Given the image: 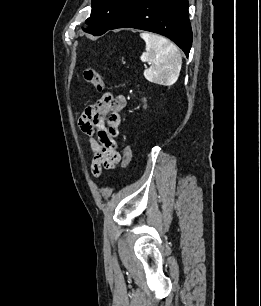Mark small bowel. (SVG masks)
<instances>
[{
	"mask_svg": "<svg viewBox=\"0 0 261 306\" xmlns=\"http://www.w3.org/2000/svg\"><path fill=\"white\" fill-rule=\"evenodd\" d=\"M126 104L123 95L105 94L87 105L79 119L93 154L91 169L95 176H100L103 169L114 168L121 159L115 138L119 135L120 112Z\"/></svg>",
	"mask_w": 261,
	"mask_h": 306,
	"instance_id": "c3829d8e",
	"label": "small bowel"
}]
</instances>
